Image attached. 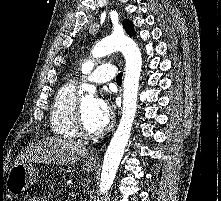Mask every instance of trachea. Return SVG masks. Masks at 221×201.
<instances>
[{
	"mask_svg": "<svg viewBox=\"0 0 221 201\" xmlns=\"http://www.w3.org/2000/svg\"><path fill=\"white\" fill-rule=\"evenodd\" d=\"M122 76H123V73H119V74L117 75L116 81H117L118 84H121V83H122Z\"/></svg>",
	"mask_w": 221,
	"mask_h": 201,
	"instance_id": "1",
	"label": "trachea"
}]
</instances>
